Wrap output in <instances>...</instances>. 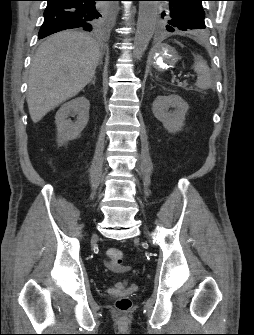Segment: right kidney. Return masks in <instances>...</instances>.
Masks as SVG:
<instances>
[{
  "label": "right kidney",
  "mask_w": 254,
  "mask_h": 335,
  "mask_svg": "<svg viewBox=\"0 0 254 335\" xmlns=\"http://www.w3.org/2000/svg\"><path fill=\"white\" fill-rule=\"evenodd\" d=\"M89 109L90 103L85 97H77L60 107L55 116L58 145L62 146L80 135L88 123ZM69 115L77 116L76 121L68 119Z\"/></svg>",
  "instance_id": "obj_1"
}]
</instances>
